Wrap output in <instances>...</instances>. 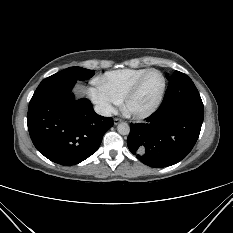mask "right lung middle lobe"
I'll return each instance as SVG.
<instances>
[{
	"label": "right lung middle lobe",
	"mask_w": 233,
	"mask_h": 233,
	"mask_svg": "<svg viewBox=\"0 0 233 233\" xmlns=\"http://www.w3.org/2000/svg\"><path fill=\"white\" fill-rule=\"evenodd\" d=\"M93 75H94V70H88L81 67H69L52 75V77H60L75 81L77 80L83 81L91 78Z\"/></svg>",
	"instance_id": "obj_1"
}]
</instances>
